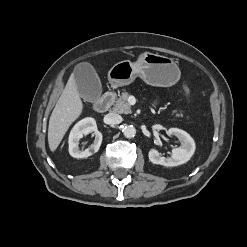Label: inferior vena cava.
<instances>
[{
    "mask_svg": "<svg viewBox=\"0 0 247 247\" xmlns=\"http://www.w3.org/2000/svg\"><path fill=\"white\" fill-rule=\"evenodd\" d=\"M104 121L107 124H119L122 122V117L117 113H108L104 117Z\"/></svg>",
    "mask_w": 247,
    "mask_h": 247,
    "instance_id": "602c4592",
    "label": "inferior vena cava"
}]
</instances>
